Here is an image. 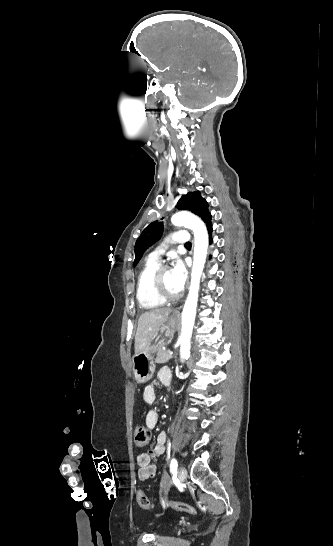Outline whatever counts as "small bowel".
<instances>
[{
    "instance_id": "small-bowel-1",
    "label": "small bowel",
    "mask_w": 333,
    "mask_h": 546,
    "mask_svg": "<svg viewBox=\"0 0 333 546\" xmlns=\"http://www.w3.org/2000/svg\"><path fill=\"white\" fill-rule=\"evenodd\" d=\"M171 374L167 367L161 368L157 373V380L161 384L168 386L170 384ZM157 397L155 383L148 385L143 391V400L145 403L151 405L155 402ZM159 414L155 409H151L145 418V423L148 429H154L158 423ZM167 435L165 432H160L156 437V442L153 448L148 453H141L137 456L138 478L141 481L153 478L157 474L156 465L154 460L162 455L165 451Z\"/></svg>"
}]
</instances>
